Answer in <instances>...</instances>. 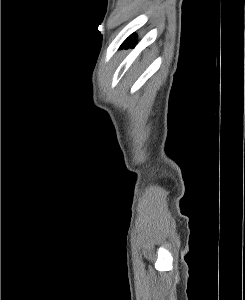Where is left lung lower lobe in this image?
Masks as SVG:
<instances>
[{"mask_svg": "<svg viewBox=\"0 0 245 300\" xmlns=\"http://www.w3.org/2000/svg\"><path fill=\"white\" fill-rule=\"evenodd\" d=\"M137 41V36L134 35V33L132 35H130L121 45V47L123 48H127V47H131L134 46L136 44Z\"/></svg>", "mask_w": 245, "mask_h": 300, "instance_id": "left-lung-lower-lobe-1", "label": "left lung lower lobe"}]
</instances>
